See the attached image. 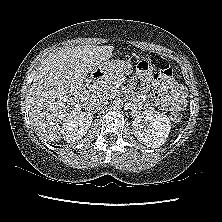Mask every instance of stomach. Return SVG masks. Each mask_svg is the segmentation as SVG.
<instances>
[{"label":"stomach","mask_w":222,"mask_h":222,"mask_svg":"<svg viewBox=\"0 0 222 222\" xmlns=\"http://www.w3.org/2000/svg\"><path fill=\"white\" fill-rule=\"evenodd\" d=\"M118 70L120 71L121 75H129L132 73V65L128 62H119Z\"/></svg>","instance_id":"1"}]
</instances>
